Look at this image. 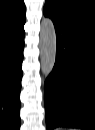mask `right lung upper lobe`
Here are the masks:
<instances>
[{
	"instance_id": "obj_1",
	"label": "right lung upper lobe",
	"mask_w": 95,
	"mask_h": 130,
	"mask_svg": "<svg viewBox=\"0 0 95 130\" xmlns=\"http://www.w3.org/2000/svg\"><path fill=\"white\" fill-rule=\"evenodd\" d=\"M25 12L23 0H0V40L23 30Z\"/></svg>"
}]
</instances>
